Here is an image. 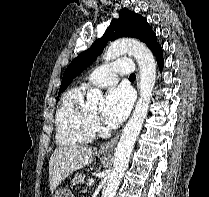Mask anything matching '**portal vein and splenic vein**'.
<instances>
[{
	"label": "portal vein and splenic vein",
	"mask_w": 209,
	"mask_h": 197,
	"mask_svg": "<svg viewBox=\"0 0 209 197\" xmlns=\"http://www.w3.org/2000/svg\"><path fill=\"white\" fill-rule=\"evenodd\" d=\"M92 183H93V180H90V179H89L88 182H87V185H88V186H91Z\"/></svg>",
	"instance_id": "obj_1"
}]
</instances>
